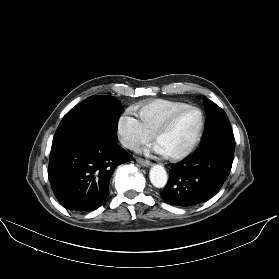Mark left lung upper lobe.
<instances>
[{"instance_id": "5c2ea615", "label": "left lung upper lobe", "mask_w": 279, "mask_h": 279, "mask_svg": "<svg viewBox=\"0 0 279 279\" xmlns=\"http://www.w3.org/2000/svg\"><path fill=\"white\" fill-rule=\"evenodd\" d=\"M207 114L201 147L211 142H221L235 148L233 131L226 113L209 99H205Z\"/></svg>"}]
</instances>
